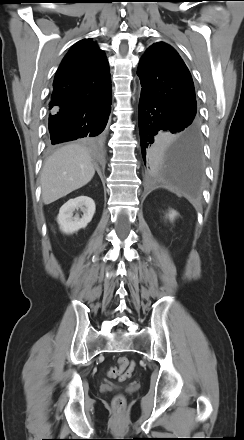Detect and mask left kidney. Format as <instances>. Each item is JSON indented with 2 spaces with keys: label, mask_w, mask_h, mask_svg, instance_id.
Segmentation results:
<instances>
[{
  "label": "left kidney",
  "mask_w": 244,
  "mask_h": 440,
  "mask_svg": "<svg viewBox=\"0 0 244 440\" xmlns=\"http://www.w3.org/2000/svg\"><path fill=\"white\" fill-rule=\"evenodd\" d=\"M177 216V212L176 211H171L169 214V218L170 219H174V217Z\"/></svg>",
  "instance_id": "left-kidney-1"
}]
</instances>
